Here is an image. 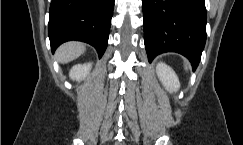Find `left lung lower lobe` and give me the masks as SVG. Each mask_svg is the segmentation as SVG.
Segmentation results:
<instances>
[{
	"label": "left lung lower lobe",
	"instance_id": "1",
	"mask_svg": "<svg viewBox=\"0 0 243 145\" xmlns=\"http://www.w3.org/2000/svg\"><path fill=\"white\" fill-rule=\"evenodd\" d=\"M142 7L149 61L177 52L196 69L206 42L205 0H142Z\"/></svg>",
	"mask_w": 243,
	"mask_h": 145
}]
</instances>
